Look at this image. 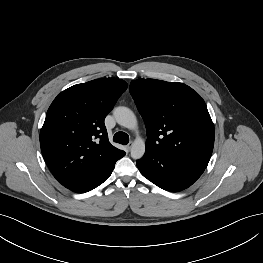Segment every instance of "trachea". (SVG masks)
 I'll return each mask as SVG.
<instances>
[{
	"instance_id": "trachea-1",
	"label": "trachea",
	"mask_w": 263,
	"mask_h": 263,
	"mask_svg": "<svg viewBox=\"0 0 263 263\" xmlns=\"http://www.w3.org/2000/svg\"><path fill=\"white\" fill-rule=\"evenodd\" d=\"M114 142L126 145L129 142V136L125 132H117L113 137Z\"/></svg>"
}]
</instances>
